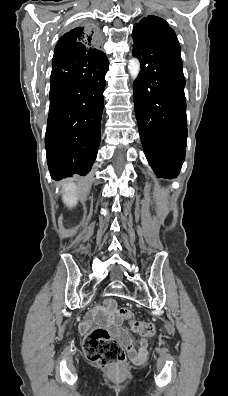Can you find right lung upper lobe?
Segmentation results:
<instances>
[{"label":"right lung upper lobe","mask_w":228,"mask_h":396,"mask_svg":"<svg viewBox=\"0 0 228 396\" xmlns=\"http://www.w3.org/2000/svg\"><path fill=\"white\" fill-rule=\"evenodd\" d=\"M97 37L94 31L86 27H77L65 33L58 41L54 53L70 48L82 51L97 49Z\"/></svg>","instance_id":"right-lung-upper-lobe-1"}]
</instances>
